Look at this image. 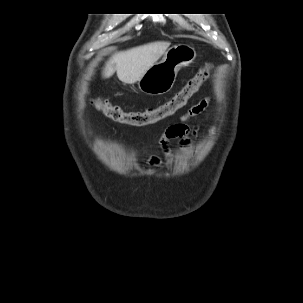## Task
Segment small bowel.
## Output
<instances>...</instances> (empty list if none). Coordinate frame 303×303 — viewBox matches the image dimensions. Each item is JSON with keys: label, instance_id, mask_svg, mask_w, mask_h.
Masks as SVG:
<instances>
[{"label": "small bowel", "instance_id": "c3829d8e", "mask_svg": "<svg viewBox=\"0 0 303 303\" xmlns=\"http://www.w3.org/2000/svg\"><path fill=\"white\" fill-rule=\"evenodd\" d=\"M207 106L205 100L193 106L187 114L183 115L179 122L169 125L161 138L159 139V146L162 151L164 161H170L172 150L169 145L171 139H177L178 147L181 150H186L190 146L191 139L194 137V129L187 123L190 117L201 114ZM162 159L158 155H153L150 158V164L159 165Z\"/></svg>", "mask_w": 303, "mask_h": 303}]
</instances>
